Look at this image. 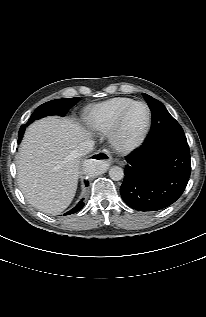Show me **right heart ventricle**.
Instances as JSON below:
<instances>
[{
  "label": "right heart ventricle",
  "instance_id": "1",
  "mask_svg": "<svg viewBox=\"0 0 206 317\" xmlns=\"http://www.w3.org/2000/svg\"><path fill=\"white\" fill-rule=\"evenodd\" d=\"M132 102H134L133 99L126 97H115L103 101L90 107L84 120L91 129L100 133H108L121 111Z\"/></svg>",
  "mask_w": 206,
  "mask_h": 317
}]
</instances>
